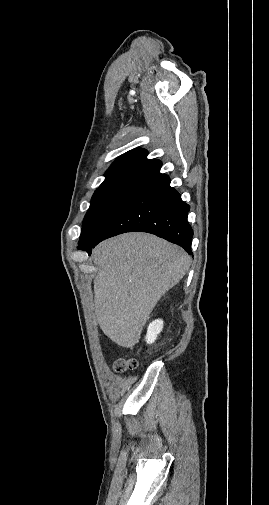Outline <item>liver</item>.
<instances>
[{"label": "liver", "mask_w": 269, "mask_h": 505, "mask_svg": "<svg viewBox=\"0 0 269 505\" xmlns=\"http://www.w3.org/2000/svg\"><path fill=\"white\" fill-rule=\"evenodd\" d=\"M98 267L94 307L104 334L132 348L158 300L186 274L190 256L179 246L147 233H125L93 251Z\"/></svg>", "instance_id": "obj_1"}]
</instances>
